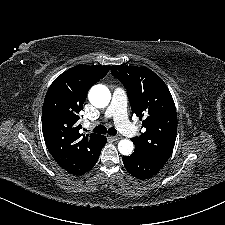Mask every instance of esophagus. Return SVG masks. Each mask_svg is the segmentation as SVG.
<instances>
[{"label":"esophagus","instance_id":"obj_1","mask_svg":"<svg viewBox=\"0 0 225 225\" xmlns=\"http://www.w3.org/2000/svg\"><path fill=\"white\" fill-rule=\"evenodd\" d=\"M111 140H113V141H118V140H120L122 137L121 136H110L109 137Z\"/></svg>","mask_w":225,"mask_h":225}]
</instances>
